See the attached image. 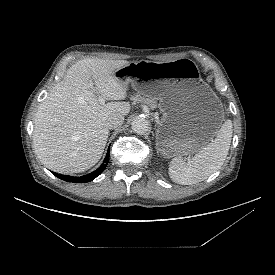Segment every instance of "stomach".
Wrapping results in <instances>:
<instances>
[{"mask_svg": "<svg viewBox=\"0 0 275 275\" xmlns=\"http://www.w3.org/2000/svg\"><path fill=\"white\" fill-rule=\"evenodd\" d=\"M115 76L138 93L159 99L157 140L166 155H192L218 132L224 119L222 104L192 60L130 62Z\"/></svg>", "mask_w": 275, "mask_h": 275, "instance_id": "0dacf381", "label": "stomach"}]
</instances>
